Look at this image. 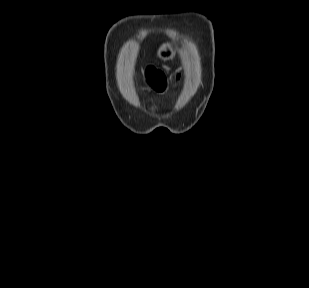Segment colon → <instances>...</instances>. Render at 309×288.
I'll return each mask as SVG.
<instances>
[{
	"label": "colon",
	"instance_id": "obj_1",
	"mask_svg": "<svg viewBox=\"0 0 309 288\" xmlns=\"http://www.w3.org/2000/svg\"><path fill=\"white\" fill-rule=\"evenodd\" d=\"M178 78L179 75L176 77V79ZM151 84L157 91H163L167 86V80L162 73L154 71L151 77Z\"/></svg>",
	"mask_w": 309,
	"mask_h": 288
}]
</instances>
